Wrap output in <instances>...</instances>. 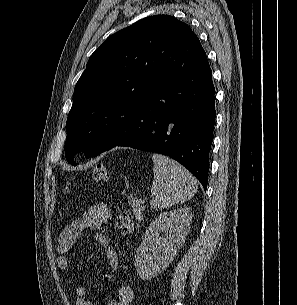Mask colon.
Segmentation results:
<instances>
[{"label":"colon","mask_w":297,"mask_h":305,"mask_svg":"<svg viewBox=\"0 0 297 305\" xmlns=\"http://www.w3.org/2000/svg\"><path fill=\"white\" fill-rule=\"evenodd\" d=\"M109 172L104 164L96 165L92 170V180L95 183H105L109 181ZM66 192H70V184L66 183L64 186ZM116 227L124 235H131L134 231L135 225L132 222L131 215L128 211H119L116 214Z\"/></svg>","instance_id":"obj_1"}]
</instances>
